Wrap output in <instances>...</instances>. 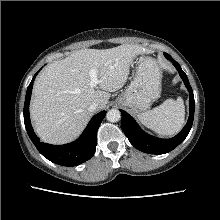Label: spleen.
Masks as SVG:
<instances>
[{"label": "spleen", "mask_w": 220, "mask_h": 220, "mask_svg": "<svg viewBox=\"0 0 220 220\" xmlns=\"http://www.w3.org/2000/svg\"><path fill=\"white\" fill-rule=\"evenodd\" d=\"M185 107L181 97L167 99L152 110L138 114L139 121L147 128L161 135H173L184 124Z\"/></svg>", "instance_id": "spleen-1"}]
</instances>
